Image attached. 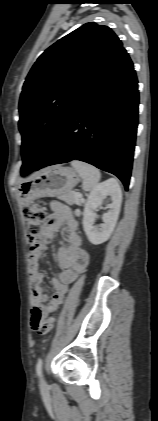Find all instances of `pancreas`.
Listing matches in <instances>:
<instances>
[{
  "instance_id": "pancreas-1",
  "label": "pancreas",
  "mask_w": 158,
  "mask_h": 421,
  "mask_svg": "<svg viewBox=\"0 0 158 421\" xmlns=\"http://www.w3.org/2000/svg\"><path fill=\"white\" fill-rule=\"evenodd\" d=\"M74 193L75 192H69V193L65 194L64 196H62V200H64L65 202H67L70 205H72V204H77V205L84 204L85 200L83 198L76 197Z\"/></svg>"
}]
</instances>
